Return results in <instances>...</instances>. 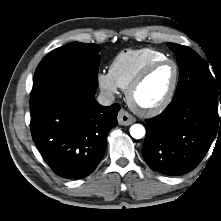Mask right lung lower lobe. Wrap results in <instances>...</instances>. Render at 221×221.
<instances>
[{"instance_id": "98d812e1", "label": "right lung lower lobe", "mask_w": 221, "mask_h": 221, "mask_svg": "<svg viewBox=\"0 0 221 221\" xmlns=\"http://www.w3.org/2000/svg\"><path fill=\"white\" fill-rule=\"evenodd\" d=\"M96 88L78 80L47 89L31 106L32 138L48 166L60 177L91 174L106 150L110 129L118 124L120 106H101Z\"/></svg>"}]
</instances>
